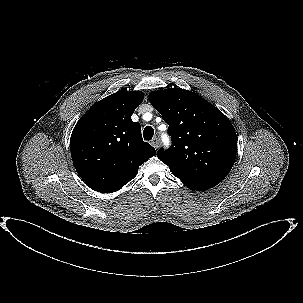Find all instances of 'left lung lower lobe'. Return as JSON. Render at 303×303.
I'll return each instance as SVG.
<instances>
[{"label":"left lung lower lobe","instance_id":"1","mask_svg":"<svg viewBox=\"0 0 303 303\" xmlns=\"http://www.w3.org/2000/svg\"><path fill=\"white\" fill-rule=\"evenodd\" d=\"M184 185L188 188L196 191L208 190L218 183H220L223 179L221 178H209V179H200V180H189V179H181Z\"/></svg>","mask_w":303,"mask_h":303}]
</instances>
